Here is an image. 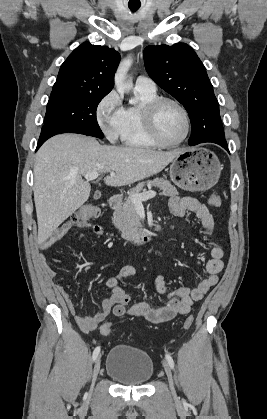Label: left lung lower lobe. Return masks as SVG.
<instances>
[{"label": "left lung lower lobe", "instance_id": "0a47b994", "mask_svg": "<svg viewBox=\"0 0 267 419\" xmlns=\"http://www.w3.org/2000/svg\"><path fill=\"white\" fill-rule=\"evenodd\" d=\"M213 134L214 133L209 130H205L201 134H192L190 137L191 139L189 141V145H197L204 142H212L219 144L229 152L226 140H218L213 136Z\"/></svg>", "mask_w": 267, "mask_h": 419}]
</instances>
